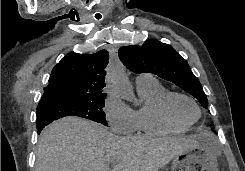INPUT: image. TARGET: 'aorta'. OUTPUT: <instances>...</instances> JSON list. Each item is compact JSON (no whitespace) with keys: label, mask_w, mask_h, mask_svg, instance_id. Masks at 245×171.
I'll list each match as a JSON object with an SVG mask.
<instances>
[{"label":"aorta","mask_w":245,"mask_h":171,"mask_svg":"<svg viewBox=\"0 0 245 171\" xmlns=\"http://www.w3.org/2000/svg\"><path fill=\"white\" fill-rule=\"evenodd\" d=\"M107 81L118 95L128 101H134L133 87L130 84L124 69L118 65L107 73Z\"/></svg>","instance_id":"1"}]
</instances>
